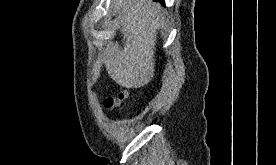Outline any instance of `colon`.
Segmentation results:
<instances>
[{
	"mask_svg": "<svg viewBox=\"0 0 276 165\" xmlns=\"http://www.w3.org/2000/svg\"><path fill=\"white\" fill-rule=\"evenodd\" d=\"M128 98H129V93L124 92V93H121L118 97L107 98L104 103V106L107 110H112L121 106L122 103Z\"/></svg>",
	"mask_w": 276,
	"mask_h": 165,
	"instance_id": "colon-1",
	"label": "colon"
}]
</instances>
